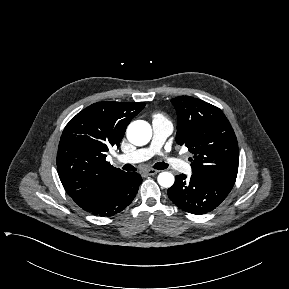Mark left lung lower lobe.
<instances>
[{"mask_svg":"<svg viewBox=\"0 0 289 289\" xmlns=\"http://www.w3.org/2000/svg\"><path fill=\"white\" fill-rule=\"evenodd\" d=\"M232 187L209 177L192 174L186 180V175L175 177V183L168 189L169 199L182 210L201 215L218 207Z\"/></svg>","mask_w":289,"mask_h":289,"instance_id":"0a47b994","label":"left lung lower lobe"}]
</instances>
